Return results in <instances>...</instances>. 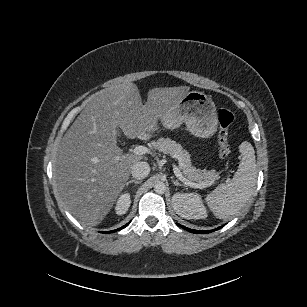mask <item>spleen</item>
I'll list each match as a JSON object with an SVG mask.
<instances>
[{"mask_svg":"<svg viewBox=\"0 0 307 307\" xmlns=\"http://www.w3.org/2000/svg\"><path fill=\"white\" fill-rule=\"evenodd\" d=\"M242 160L232 179L216 187L206 196L213 214L226 219L239 211L254 192L257 177L255 151L251 143L244 141L239 146Z\"/></svg>","mask_w":307,"mask_h":307,"instance_id":"obj_1","label":"spleen"}]
</instances>
